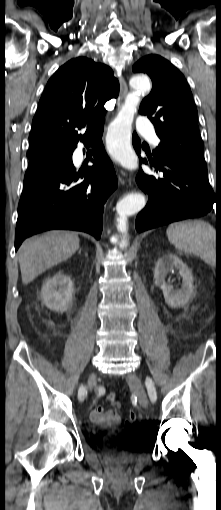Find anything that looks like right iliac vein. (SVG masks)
I'll use <instances>...</instances> for the list:
<instances>
[{
	"label": "right iliac vein",
	"instance_id": "1",
	"mask_svg": "<svg viewBox=\"0 0 221 510\" xmlns=\"http://www.w3.org/2000/svg\"><path fill=\"white\" fill-rule=\"evenodd\" d=\"M88 385L90 389H93L95 387V374L91 373L88 378Z\"/></svg>",
	"mask_w": 221,
	"mask_h": 510
}]
</instances>
